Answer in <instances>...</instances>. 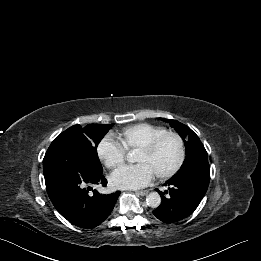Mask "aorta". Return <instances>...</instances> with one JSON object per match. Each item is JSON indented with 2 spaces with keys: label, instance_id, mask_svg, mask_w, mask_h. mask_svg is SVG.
<instances>
[{
  "label": "aorta",
  "instance_id": "obj_1",
  "mask_svg": "<svg viewBox=\"0 0 261 261\" xmlns=\"http://www.w3.org/2000/svg\"><path fill=\"white\" fill-rule=\"evenodd\" d=\"M127 158L130 160V154L127 156ZM146 202L149 207L157 208L161 204V197L157 192H151L146 196Z\"/></svg>",
  "mask_w": 261,
  "mask_h": 261
}]
</instances>
